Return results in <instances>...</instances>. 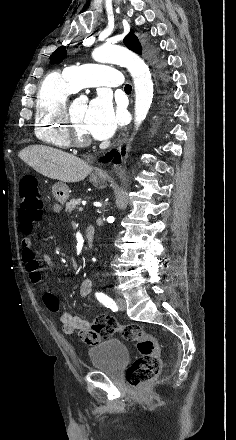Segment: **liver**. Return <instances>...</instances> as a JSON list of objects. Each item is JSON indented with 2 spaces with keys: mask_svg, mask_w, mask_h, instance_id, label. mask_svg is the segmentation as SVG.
I'll list each match as a JSON object with an SVG mask.
<instances>
[{
  "mask_svg": "<svg viewBox=\"0 0 236 440\" xmlns=\"http://www.w3.org/2000/svg\"><path fill=\"white\" fill-rule=\"evenodd\" d=\"M19 157L43 176L65 183L82 181L93 170L82 159L44 145L26 147Z\"/></svg>",
  "mask_w": 236,
  "mask_h": 440,
  "instance_id": "liver-1",
  "label": "liver"
}]
</instances>
